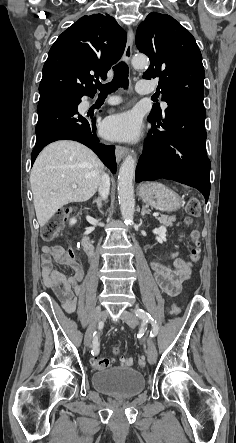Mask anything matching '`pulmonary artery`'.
Masks as SVG:
<instances>
[{"label": "pulmonary artery", "mask_w": 236, "mask_h": 443, "mask_svg": "<svg viewBox=\"0 0 236 443\" xmlns=\"http://www.w3.org/2000/svg\"><path fill=\"white\" fill-rule=\"evenodd\" d=\"M152 88L150 87L147 81H139L136 84V91L140 94H148L152 92ZM118 101L110 102V104H116ZM163 107L166 108L167 104L164 102Z\"/></svg>", "instance_id": "pulmonary-artery-1"}]
</instances>
